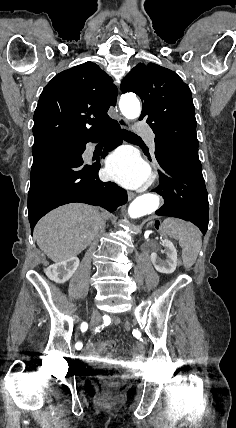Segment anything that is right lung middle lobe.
I'll list each match as a JSON object with an SVG mask.
<instances>
[{
    "mask_svg": "<svg viewBox=\"0 0 236 428\" xmlns=\"http://www.w3.org/2000/svg\"><path fill=\"white\" fill-rule=\"evenodd\" d=\"M77 142L72 139L50 140L33 145V163L53 155H73Z\"/></svg>",
    "mask_w": 236,
    "mask_h": 428,
    "instance_id": "dd1d6c3e",
    "label": "right lung middle lobe"
}]
</instances>
